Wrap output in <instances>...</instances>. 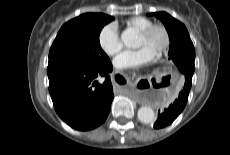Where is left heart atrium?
<instances>
[{"instance_id": "obj_1", "label": "left heart atrium", "mask_w": 230, "mask_h": 155, "mask_svg": "<svg viewBox=\"0 0 230 155\" xmlns=\"http://www.w3.org/2000/svg\"><path fill=\"white\" fill-rule=\"evenodd\" d=\"M154 53L146 46L137 50L122 52L114 59V66L117 69L137 68L150 63L154 59Z\"/></svg>"}]
</instances>
